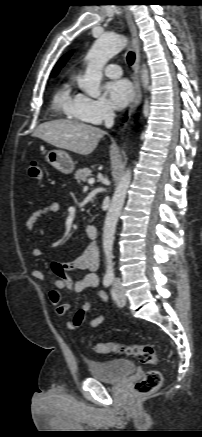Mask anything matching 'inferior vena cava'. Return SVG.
<instances>
[{
    "instance_id": "obj_1",
    "label": "inferior vena cava",
    "mask_w": 202,
    "mask_h": 437,
    "mask_svg": "<svg viewBox=\"0 0 202 437\" xmlns=\"http://www.w3.org/2000/svg\"><path fill=\"white\" fill-rule=\"evenodd\" d=\"M115 113L112 108L108 107L104 111V122L107 128H111L114 124Z\"/></svg>"
}]
</instances>
